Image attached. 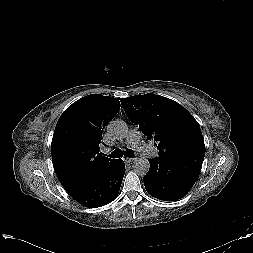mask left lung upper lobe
Here are the masks:
<instances>
[{"mask_svg":"<svg viewBox=\"0 0 253 253\" xmlns=\"http://www.w3.org/2000/svg\"><path fill=\"white\" fill-rule=\"evenodd\" d=\"M127 117L154 141L159 157L203 161L205 145L194 117L177 102L152 93L120 99Z\"/></svg>","mask_w":253,"mask_h":253,"instance_id":"5c2ea615","label":"left lung upper lobe"}]
</instances>
